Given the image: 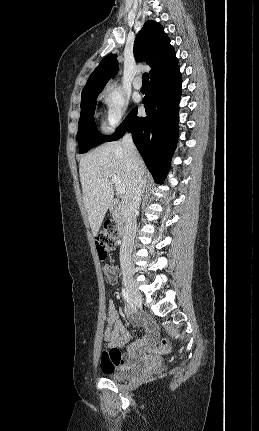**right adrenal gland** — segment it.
Returning a JSON list of instances; mask_svg holds the SVG:
<instances>
[{"mask_svg": "<svg viewBox=\"0 0 259 431\" xmlns=\"http://www.w3.org/2000/svg\"><path fill=\"white\" fill-rule=\"evenodd\" d=\"M146 183H147V181L145 180V181H144V187H143V190H145Z\"/></svg>", "mask_w": 259, "mask_h": 431, "instance_id": "right-adrenal-gland-1", "label": "right adrenal gland"}]
</instances>
